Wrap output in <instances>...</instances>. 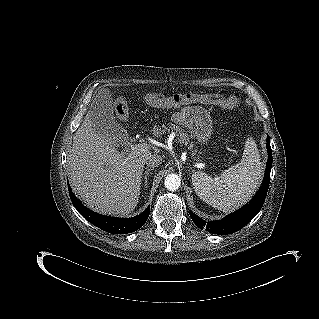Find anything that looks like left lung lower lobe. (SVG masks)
I'll use <instances>...</instances> for the list:
<instances>
[{"label":"left lung lower lobe","mask_w":319,"mask_h":319,"mask_svg":"<svg viewBox=\"0 0 319 319\" xmlns=\"http://www.w3.org/2000/svg\"><path fill=\"white\" fill-rule=\"evenodd\" d=\"M267 151L268 161L265 170V176L261 184V187L254 199L240 210L226 216L222 220L205 222L203 219L195 215L193 212H190L191 219L193 220L195 225H197L201 230L205 229L213 234L227 235L240 230L257 215L265 201L270 181V171L272 167V151L270 147L269 136H267Z\"/></svg>","instance_id":"1"}]
</instances>
